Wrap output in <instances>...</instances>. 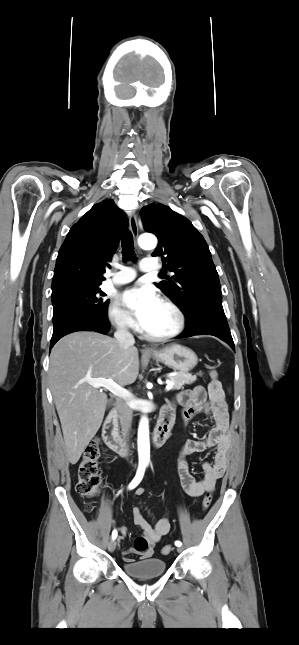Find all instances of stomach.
Here are the masks:
<instances>
[{
	"mask_svg": "<svg viewBox=\"0 0 299 645\" xmlns=\"http://www.w3.org/2000/svg\"><path fill=\"white\" fill-rule=\"evenodd\" d=\"M152 357L180 373H188L198 363L197 355L191 349L178 344L154 351Z\"/></svg>",
	"mask_w": 299,
	"mask_h": 645,
	"instance_id": "0dacf381",
	"label": "stomach"
}]
</instances>
